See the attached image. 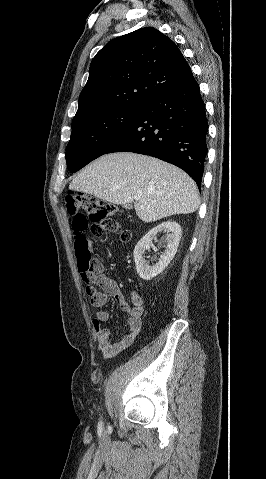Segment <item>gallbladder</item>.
I'll list each match as a JSON object with an SVG mask.
<instances>
[{"instance_id":"gallbladder-1","label":"gallbladder","mask_w":266,"mask_h":479,"mask_svg":"<svg viewBox=\"0 0 266 479\" xmlns=\"http://www.w3.org/2000/svg\"><path fill=\"white\" fill-rule=\"evenodd\" d=\"M126 208L132 209V206L130 204L126 205Z\"/></svg>"}]
</instances>
